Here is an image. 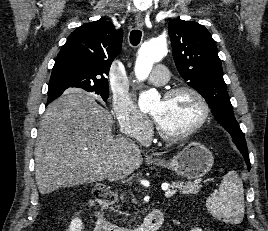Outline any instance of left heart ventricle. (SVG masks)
<instances>
[{
  "label": "left heart ventricle",
  "mask_w": 268,
  "mask_h": 231,
  "mask_svg": "<svg viewBox=\"0 0 268 231\" xmlns=\"http://www.w3.org/2000/svg\"><path fill=\"white\" fill-rule=\"evenodd\" d=\"M150 111L169 133H182L193 126L200 117V106L189 94L182 93L171 99L156 100Z\"/></svg>",
  "instance_id": "1"
}]
</instances>
